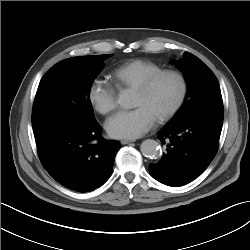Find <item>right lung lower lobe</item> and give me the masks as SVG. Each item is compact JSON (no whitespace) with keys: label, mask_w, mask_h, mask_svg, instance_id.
Listing matches in <instances>:
<instances>
[{"label":"right lung lower lobe","mask_w":250,"mask_h":250,"mask_svg":"<svg viewBox=\"0 0 250 250\" xmlns=\"http://www.w3.org/2000/svg\"><path fill=\"white\" fill-rule=\"evenodd\" d=\"M95 125L78 130H60L35 136L40 161L51 177L76 192H89L111 176L121 144L101 137Z\"/></svg>","instance_id":"right-lung-lower-lobe-1"}]
</instances>
